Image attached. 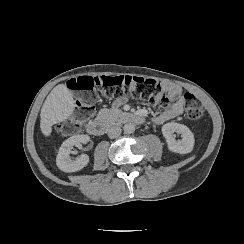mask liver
<instances>
[{
  "mask_svg": "<svg viewBox=\"0 0 244 244\" xmlns=\"http://www.w3.org/2000/svg\"><path fill=\"white\" fill-rule=\"evenodd\" d=\"M75 108L72 93L64 84L52 89L43 103L40 113V128L45 136L52 132V126L66 120Z\"/></svg>",
  "mask_w": 244,
  "mask_h": 244,
  "instance_id": "6515ba94",
  "label": "liver"
}]
</instances>
